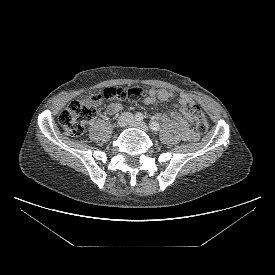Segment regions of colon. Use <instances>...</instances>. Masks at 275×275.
<instances>
[{
    "label": "colon",
    "mask_w": 275,
    "mask_h": 275,
    "mask_svg": "<svg viewBox=\"0 0 275 275\" xmlns=\"http://www.w3.org/2000/svg\"><path fill=\"white\" fill-rule=\"evenodd\" d=\"M140 95L141 91L136 88H107L103 92L96 93L89 98L72 101L59 114V124L67 136H81L85 131L86 124L96 118L98 106L103 100L136 101ZM190 114L196 131L199 134L206 133L208 130V120L200 107L197 105L192 106Z\"/></svg>",
    "instance_id": "obj_1"
}]
</instances>
